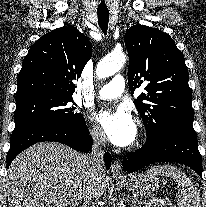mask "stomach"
Wrapping results in <instances>:
<instances>
[{
	"instance_id": "obj_1",
	"label": "stomach",
	"mask_w": 206,
	"mask_h": 207,
	"mask_svg": "<svg viewBox=\"0 0 206 207\" xmlns=\"http://www.w3.org/2000/svg\"><path fill=\"white\" fill-rule=\"evenodd\" d=\"M120 182L129 191L136 193L143 198L155 196L160 187L158 177L150 173L130 175Z\"/></svg>"
}]
</instances>
